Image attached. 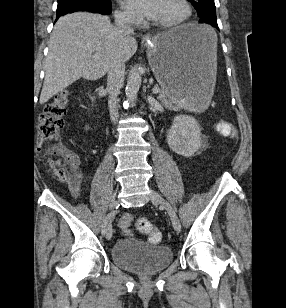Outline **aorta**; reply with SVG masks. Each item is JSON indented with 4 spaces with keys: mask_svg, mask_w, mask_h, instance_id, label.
I'll return each instance as SVG.
<instances>
[{
    "mask_svg": "<svg viewBox=\"0 0 286 308\" xmlns=\"http://www.w3.org/2000/svg\"><path fill=\"white\" fill-rule=\"evenodd\" d=\"M141 82H142L141 68L135 67L132 69L129 75L125 89L126 97L128 100L134 101L137 99V94L141 86Z\"/></svg>",
    "mask_w": 286,
    "mask_h": 308,
    "instance_id": "obj_1",
    "label": "aorta"
}]
</instances>
